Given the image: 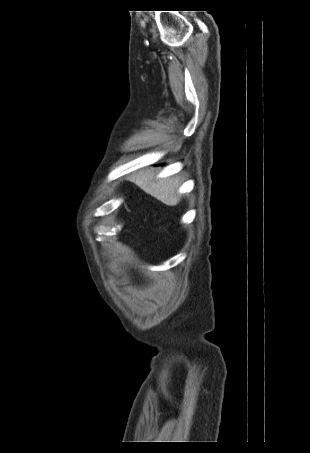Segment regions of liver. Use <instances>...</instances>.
I'll return each mask as SVG.
<instances>
[{"label": "liver", "instance_id": "liver-1", "mask_svg": "<svg viewBox=\"0 0 310 453\" xmlns=\"http://www.w3.org/2000/svg\"><path fill=\"white\" fill-rule=\"evenodd\" d=\"M154 178L155 174L151 170H146L133 174L130 180L162 203L168 206L177 205L180 201V196L177 194V189L179 188L178 179L154 180Z\"/></svg>", "mask_w": 310, "mask_h": 453}]
</instances>
